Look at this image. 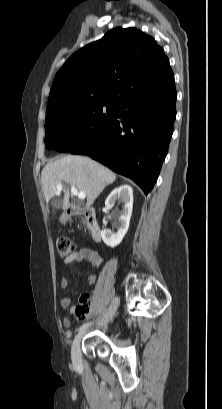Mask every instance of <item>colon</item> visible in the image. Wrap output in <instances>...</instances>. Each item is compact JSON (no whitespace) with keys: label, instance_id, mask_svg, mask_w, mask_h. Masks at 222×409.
<instances>
[{"label":"colon","instance_id":"1","mask_svg":"<svg viewBox=\"0 0 222 409\" xmlns=\"http://www.w3.org/2000/svg\"><path fill=\"white\" fill-rule=\"evenodd\" d=\"M57 252L61 259L67 260L70 256L75 253V243L66 237H60L57 240ZM89 313V304L87 302H83L79 304L75 309V314L78 318H85Z\"/></svg>","mask_w":222,"mask_h":409}]
</instances>
